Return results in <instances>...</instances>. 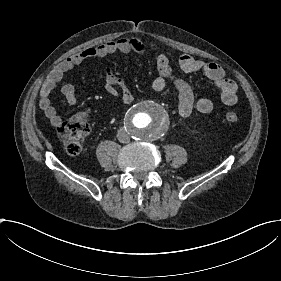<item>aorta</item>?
<instances>
[{"mask_svg": "<svg viewBox=\"0 0 281 281\" xmlns=\"http://www.w3.org/2000/svg\"><path fill=\"white\" fill-rule=\"evenodd\" d=\"M169 115L154 101H141L131 107L126 116V126L132 137L150 141L160 138L168 130Z\"/></svg>", "mask_w": 281, "mask_h": 281, "instance_id": "762f6f07", "label": "aorta"}]
</instances>
